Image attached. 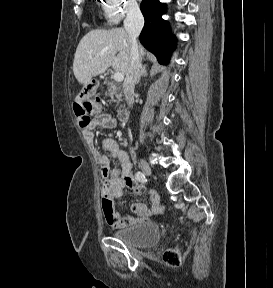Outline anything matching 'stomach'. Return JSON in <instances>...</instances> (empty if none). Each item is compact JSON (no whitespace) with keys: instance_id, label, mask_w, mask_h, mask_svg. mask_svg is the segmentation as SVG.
<instances>
[{"instance_id":"1","label":"stomach","mask_w":273,"mask_h":288,"mask_svg":"<svg viewBox=\"0 0 273 288\" xmlns=\"http://www.w3.org/2000/svg\"><path fill=\"white\" fill-rule=\"evenodd\" d=\"M98 85H99V83H98V81L97 80H92L91 79V81L86 85L87 87H91V91H93V92H95L96 91V89L98 88Z\"/></svg>"}]
</instances>
